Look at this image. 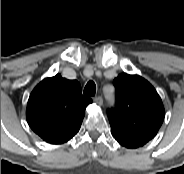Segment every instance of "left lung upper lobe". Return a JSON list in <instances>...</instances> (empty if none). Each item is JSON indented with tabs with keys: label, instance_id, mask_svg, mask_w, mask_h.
Returning <instances> with one entry per match:
<instances>
[{
	"label": "left lung upper lobe",
	"instance_id": "5c2ea615",
	"mask_svg": "<svg viewBox=\"0 0 184 174\" xmlns=\"http://www.w3.org/2000/svg\"><path fill=\"white\" fill-rule=\"evenodd\" d=\"M113 84L116 107L108 110L111 128L151 140L165 116L163 103L155 88L141 76L126 73L119 74Z\"/></svg>",
	"mask_w": 184,
	"mask_h": 174
}]
</instances>
